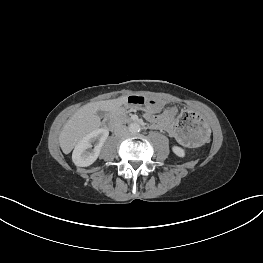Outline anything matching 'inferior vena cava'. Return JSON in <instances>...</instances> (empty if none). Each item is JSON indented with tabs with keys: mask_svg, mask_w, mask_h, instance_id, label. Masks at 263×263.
I'll return each mask as SVG.
<instances>
[{
	"mask_svg": "<svg viewBox=\"0 0 263 263\" xmlns=\"http://www.w3.org/2000/svg\"><path fill=\"white\" fill-rule=\"evenodd\" d=\"M128 134V128L125 125H119L115 128V135L122 137Z\"/></svg>",
	"mask_w": 263,
	"mask_h": 263,
	"instance_id": "inferior-vena-cava-1",
	"label": "inferior vena cava"
}]
</instances>
